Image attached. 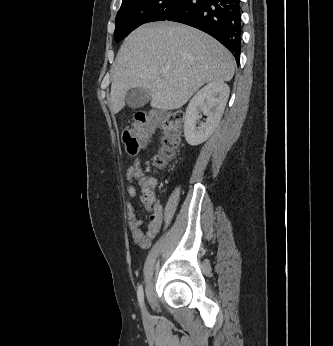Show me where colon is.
Listing matches in <instances>:
<instances>
[{"mask_svg": "<svg viewBox=\"0 0 333 346\" xmlns=\"http://www.w3.org/2000/svg\"><path fill=\"white\" fill-rule=\"evenodd\" d=\"M183 119L181 111H173L166 115H160L155 111L137 112L133 123L126 127L122 133V140L126 151L135 155L145 148L148 139L162 129V144L160 152L154 157L155 167H163L174 155L180 145V124ZM154 188V182L148 180V189Z\"/></svg>", "mask_w": 333, "mask_h": 346, "instance_id": "colon-1", "label": "colon"}]
</instances>
